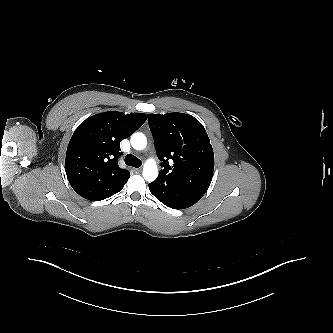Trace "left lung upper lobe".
<instances>
[{
    "label": "left lung upper lobe",
    "instance_id": "5c2ea615",
    "mask_svg": "<svg viewBox=\"0 0 333 333\" xmlns=\"http://www.w3.org/2000/svg\"><path fill=\"white\" fill-rule=\"evenodd\" d=\"M148 122L162 167L152 183L204 195L213 177L214 153L203 125L177 112L148 114Z\"/></svg>",
    "mask_w": 333,
    "mask_h": 333
}]
</instances>
